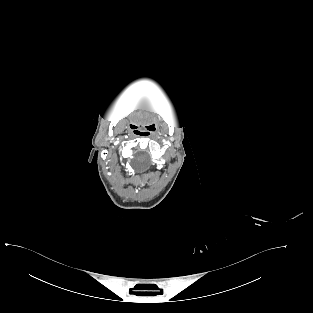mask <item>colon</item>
<instances>
[{
  "mask_svg": "<svg viewBox=\"0 0 313 313\" xmlns=\"http://www.w3.org/2000/svg\"><path fill=\"white\" fill-rule=\"evenodd\" d=\"M233 239H235V238H233V237L230 236V240H233Z\"/></svg>",
  "mask_w": 313,
  "mask_h": 313,
  "instance_id": "1",
  "label": "colon"
}]
</instances>
